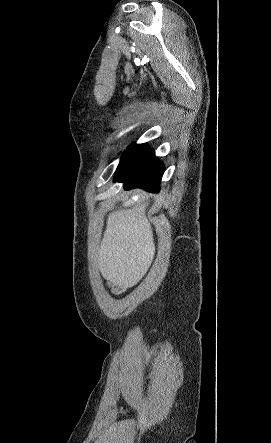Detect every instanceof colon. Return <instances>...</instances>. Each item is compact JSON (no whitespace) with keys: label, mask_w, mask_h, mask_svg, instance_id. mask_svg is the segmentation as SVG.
Listing matches in <instances>:
<instances>
[{"label":"colon","mask_w":271,"mask_h":443,"mask_svg":"<svg viewBox=\"0 0 271 443\" xmlns=\"http://www.w3.org/2000/svg\"><path fill=\"white\" fill-rule=\"evenodd\" d=\"M111 289L115 294H121L125 291L126 285L121 282H115L111 285Z\"/></svg>","instance_id":"colon-1"}]
</instances>
